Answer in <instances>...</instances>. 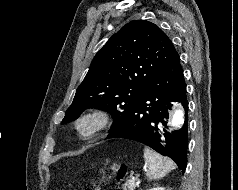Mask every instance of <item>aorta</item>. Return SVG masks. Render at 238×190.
<instances>
[{
	"label": "aorta",
	"mask_w": 238,
	"mask_h": 190,
	"mask_svg": "<svg viewBox=\"0 0 238 190\" xmlns=\"http://www.w3.org/2000/svg\"><path fill=\"white\" fill-rule=\"evenodd\" d=\"M184 123V110L176 107L172 113V126L180 127Z\"/></svg>",
	"instance_id": "obj_1"
}]
</instances>
